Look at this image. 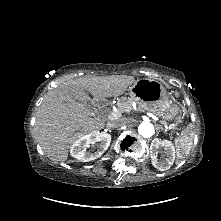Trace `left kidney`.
I'll return each instance as SVG.
<instances>
[{"mask_svg":"<svg viewBox=\"0 0 221 221\" xmlns=\"http://www.w3.org/2000/svg\"><path fill=\"white\" fill-rule=\"evenodd\" d=\"M159 146L164 147L166 158L164 160L159 161L157 159V149ZM150 156L152 165L160 170L165 171L170 169L175 160V148L174 145L168 140L154 139L150 145Z\"/></svg>","mask_w":221,"mask_h":221,"instance_id":"5707ae66","label":"left kidney"}]
</instances>
